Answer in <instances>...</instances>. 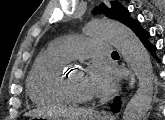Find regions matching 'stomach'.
<instances>
[{
	"label": "stomach",
	"mask_w": 165,
	"mask_h": 120,
	"mask_svg": "<svg viewBox=\"0 0 165 120\" xmlns=\"http://www.w3.org/2000/svg\"><path fill=\"white\" fill-rule=\"evenodd\" d=\"M33 119H48L45 116H33L31 120ZM77 120H109L106 116H101L97 113L90 112L85 116L79 117Z\"/></svg>",
	"instance_id": "stomach-1"
}]
</instances>
